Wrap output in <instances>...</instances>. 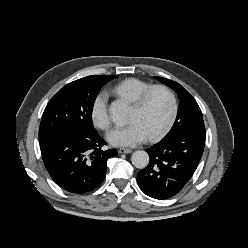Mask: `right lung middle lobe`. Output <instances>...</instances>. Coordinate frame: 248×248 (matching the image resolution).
<instances>
[{"mask_svg":"<svg viewBox=\"0 0 248 248\" xmlns=\"http://www.w3.org/2000/svg\"><path fill=\"white\" fill-rule=\"evenodd\" d=\"M108 79L96 75L65 85L47 104L39 127V142L62 130L96 132L92 107L98 92Z\"/></svg>","mask_w":248,"mask_h":248,"instance_id":"dd1d6c3e","label":"right lung middle lobe"}]
</instances>
